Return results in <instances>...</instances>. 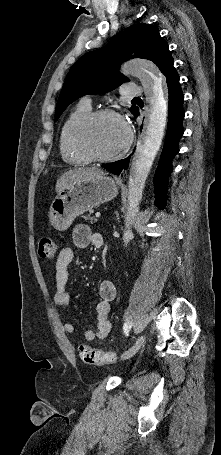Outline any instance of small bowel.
I'll return each instance as SVG.
<instances>
[{
  "mask_svg": "<svg viewBox=\"0 0 221 455\" xmlns=\"http://www.w3.org/2000/svg\"><path fill=\"white\" fill-rule=\"evenodd\" d=\"M103 240L99 233H94L86 226H77L73 232V242L77 248H85L88 245L97 246ZM75 253L71 247H63L55 264V293L53 297L56 306H66L70 303L71 296L66 289L70 267L74 260ZM100 300L97 302L96 311V330L88 329L84 333V339L88 342L95 339L103 340L112 331V324L109 320L110 304L116 296V287L113 282L103 280L98 286ZM63 329L68 334H74L75 328L72 323L64 322Z\"/></svg>",
  "mask_w": 221,
  "mask_h": 455,
  "instance_id": "1",
  "label": "small bowel"
}]
</instances>
